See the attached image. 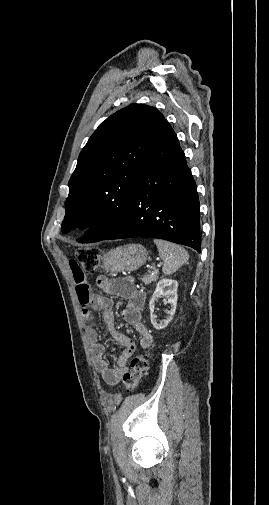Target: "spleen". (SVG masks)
<instances>
[{
  "label": "spleen",
  "mask_w": 269,
  "mask_h": 505,
  "mask_svg": "<svg viewBox=\"0 0 269 505\" xmlns=\"http://www.w3.org/2000/svg\"><path fill=\"white\" fill-rule=\"evenodd\" d=\"M154 243L164 261L162 271L165 275L176 272L189 259L188 252L180 245L162 239H154Z\"/></svg>",
  "instance_id": "3e777b00"
}]
</instances>
